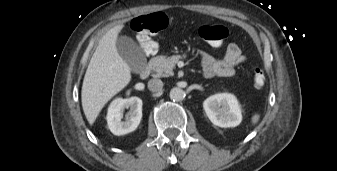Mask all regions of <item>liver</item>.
<instances>
[{
    "instance_id": "1",
    "label": "liver",
    "mask_w": 337,
    "mask_h": 171,
    "mask_svg": "<svg viewBox=\"0 0 337 171\" xmlns=\"http://www.w3.org/2000/svg\"><path fill=\"white\" fill-rule=\"evenodd\" d=\"M124 25L111 28L100 40L86 70L81 100L84 114L93 124L104 105L131 80V69L119 55L117 38Z\"/></svg>"
}]
</instances>
